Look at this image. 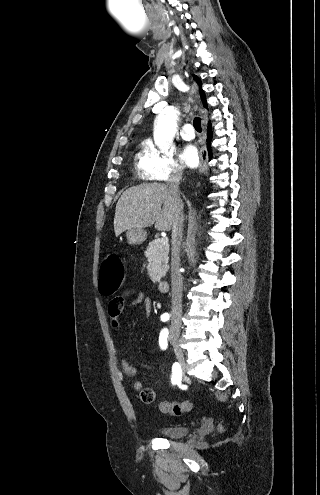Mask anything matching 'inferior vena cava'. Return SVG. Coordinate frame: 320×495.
I'll return each mask as SVG.
<instances>
[{
    "mask_svg": "<svg viewBox=\"0 0 320 495\" xmlns=\"http://www.w3.org/2000/svg\"><path fill=\"white\" fill-rule=\"evenodd\" d=\"M181 176H182V170L179 168H175L167 184L170 193L177 200H180L179 184H180ZM182 233H183V213L181 207L176 212L172 226V234H171L172 236V256H171L172 323L170 326L171 332L179 331L181 325V317H182L183 278L179 272Z\"/></svg>",
    "mask_w": 320,
    "mask_h": 495,
    "instance_id": "1",
    "label": "inferior vena cava"
}]
</instances>
